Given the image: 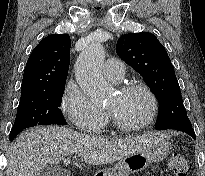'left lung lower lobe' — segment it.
Segmentation results:
<instances>
[{
	"label": "left lung lower lobe",
	"instance_id": "0a47b994",
	"mask_svg": "<svg viewBox=\"0 0 205 176\" xmlns=\"http://www.w3.org/2000/svg\"><path fill=\"white\" fill-rule=\"evenodd\" d=\"M174 130L183 131V132L189 134L193 139H195V132H194L192 126L176 128V129H174Z\"/></svg>",
	"mask_w": 205,
	"mask_h": 176
}]
</instances>
